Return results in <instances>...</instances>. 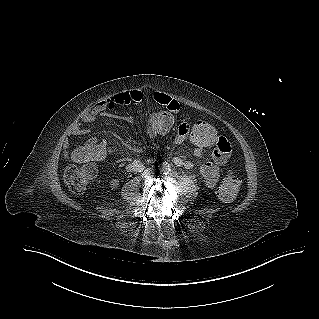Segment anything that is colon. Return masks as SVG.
<instances>
[{"label": "colon", "mask_w": 319, "mask_h": 319, "mask_svg": "<svg viewBox=\"0 0 319 319\" xmlns=\"http://www.w3.org/2000/svg\"><path fill=\"white\" fill-rule=\"evenodd\" d=\"M176 121L177 118L173 113H166L165 110L153 112L144 121V132L151 139H162L176 131L174 127ZM189 126L191 127V134L185 135V137L191 146L204 152H212L218 148L215 139L222 137V134L213 123L196 121ZM228 144L230 146L229 142ZM70 156L78 164L65 170L64 182L71 192L80 194L95 178L97 173L95 161H98L99 158L95 151H89L85 147L75 149L70 152ZM241 184L242 180L239 177L235 175L227 176L218 188V196L226 202L233 200Z\"/></svg>", "instance_id": "colon-1"}]
</instances>
